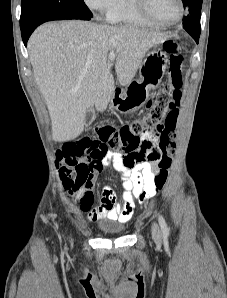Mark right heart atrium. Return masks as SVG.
<instances>
[{
    "label": "right heart atrium",
    "instance_id": "d8ad5b80",
    "mask_svg": "<svg viewBox=\"0 0 227 298\" xmlns=\"http://www.w3.org/2000/svg\"><path fill=\"white\" fill-rule=\"evenodd\" d=\"M86 6L97 14H106L115 4L116 0H83Z\"/></svg>",
    "mask_w": 227,
    "mask_h": 298
}]
</instances>
